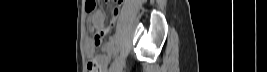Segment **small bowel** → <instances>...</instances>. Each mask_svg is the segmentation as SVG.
Segmentation results:
<instances>
[{
  "label": "small bowel",
  "mask_w": 267,
  "mask_h": 72,
  "mask_svg": "<svg viewBox=\"0 0 267 72\" xmlns=\"http://www.w3.org/2000/svg\"><path fill=\"white\" fill-rule=\"evenodd\" d=\"M119 14V6H115L113 10L114 18H116ZM89 23L93 26V28L96 30L97 33L102 34L103 37H105L109 31L110 27H105V16L102 11H97L94 14H92L89 18ZM95 42L94 41H88L85 44L86 54L90 60V63L96 62L98 65L97 72H104L108 66L109 57L108 54L112 51V45L110 43L106 44L104 46V51L106 54L103 55H94L95 51Z\"/></svg>",
  "instance_id": "c3829d8e"
}]
</instances>
